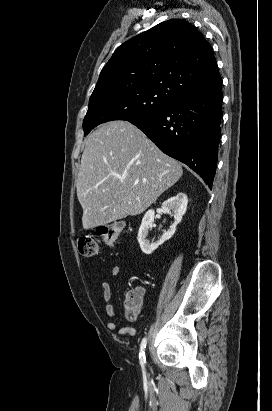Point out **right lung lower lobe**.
I'll use <instances>...</instances> for the list:
<instances>
[{"instance_id":"obj_1","label":"right lung lower lobe","mask_w":272,"mask_h":411,"mask_svg":"<svg viewBox=\"0 0 272 411\" xmlns=\"http://www.w3.org/2000/svg\"><path fill=\"white\" fill-rule=\"evenodd\" d=\"M222 81L176 99L164 110L131 121L160 150L185 163L212 189L221 134Z\"/></svg>"}]
</instances>
